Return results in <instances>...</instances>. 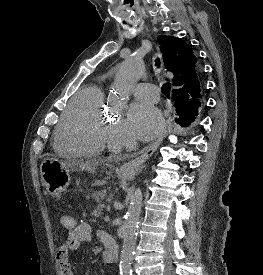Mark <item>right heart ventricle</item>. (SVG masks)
Instances as JSON below:
<instances>
[{
  "label": "right heart ventricle",
  "instance_id": "1",
  "mask_svg": "<svg viewBox=\"0 0 263 275\" xmlns=\"http://www.w3.org/2000/svg\"><path fill=\"white\" fill-rule=\"evenodd\" d=\"M104 89L100 85L82 88L68 103L54 135L58 153L71 157L101 154L108 140L104 128Z\"/></svg>",
  "mask_w": 263,
  "mask_h": 275
}]
</instances>
